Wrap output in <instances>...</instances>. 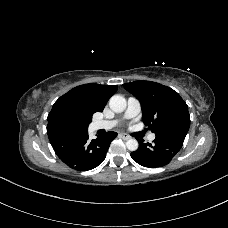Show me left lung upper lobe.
<instances>
[{
    "instance_id": "1",
    "label": "left lung upper lobe",
    "mask_w": 228,
    "mask_h": 228,
    "mask_svg": "<svg viewBox=\"0 0 228 228\" xmlns=\"http://www.w3.org/2000/svg\"><path fill=\"white\" fill-rule=\"evenodd\" d=\"M123 87L141 103L143 122L155 135H186L190 127L188 106L172 88L151 81H135Z\"/></svg>"
}]
</instances>
